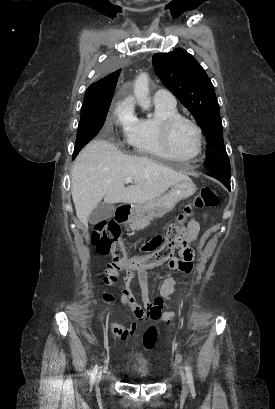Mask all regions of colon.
<instances>
[{"instance_id":"1","label":"colon","mask_w":275,"mask_h":409,"mask_svg":"<svg viewBox=\"0 0 275 409\" xmlns=\"http://www.w3.org/2000/svg\"><path fill=\"white\" fill-rule=\"evenodd\" d=\"M218 204L217 193L210 187H204L193 203L184 208V214H180L178 219L185 220L186 216H193L195 211L214 208ZM185 227L186 222L179 226L175 222L168 224L164 233H157L143 245V249L148 252L145 256H124L125 246L120 240L122 229L113 220L99 222L91 234L90 242L101 252L113 254V261H109L105 268L107 275H115L117 270L123 269L127 273L141 274L143 269L156 270L158 266L165 265L168 257L175 255L182 242ZM104 297L107 301L113 299L111 294H105ZM97 322L99 325H113L103 318H98Z\"/></svg>"}]
</instances>
